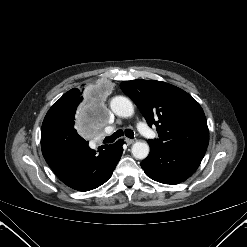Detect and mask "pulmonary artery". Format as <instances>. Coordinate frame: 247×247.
I'll use <instances>...</instances> for the list:
<instances>
[{"instance_id": "1", "label": "pulmonary artery", "mask_w": 247, "mask_h": 247, "mask_svg": "<svg viewBox=\"0 0 247 247\" xmlns=\"http://www.w3.org/2000/svg\"><path fill=\"white\" fill-rule=\"evenodd\" d=\"M137 127H138L139 131H140L143 135H145V136H147V137H150L151 132H150V130H149L143 123H139V124L137 125ZM111 131H112V128H111V127H109V128L106 129V132H111Z\"/></svg>"}]
</instances>
